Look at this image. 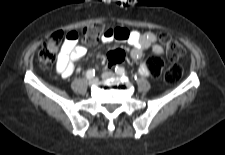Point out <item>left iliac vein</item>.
<instances>
[{"mask_svg":"<svg viewBox=\"0 0 225 155\" xmlns=\"http://www.w3.org/2000/svg\"><path fill=\"white\" fill-rule=\"evenodd\" d=\"M102 77H103L104 79L114 78V77H115V74H114L113 72H104V73L102 74Z\"/></svg>","mask_w":225,"mask_h":155,"instance_id":"4c4485c4","label":"left iliac vein"}]
</instances>
